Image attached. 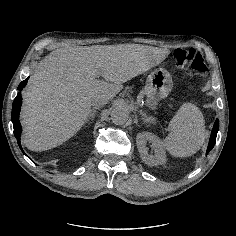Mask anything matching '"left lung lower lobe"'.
Masks as SVG:
<instances>
[{
	"label": "left lung lower lobe",
	"mask_w": 236,
	"mask_h": 236,
	"mask_svg": "<svg viewBox=\"0 0 236 236\" xmlns=\"http://www.w3.org/2000/svg\"><path fill=\"white\" fill-rule=\"evenodd\" d=\"M218 130H219V120L216 119L212 132H211V137L208 144L207 153L214 147Z\"/></svg>",
	"instance_id": "obj_1"
}]
</instances>
